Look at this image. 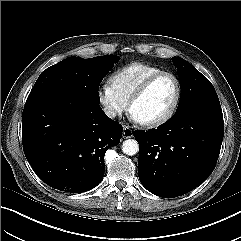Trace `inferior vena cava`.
Listing matches in <instances>:
<instances>
[{
    "mask_svg": "<svg viewBox=\"0 0 241 241\" xmlns=\"http://www.w3.org/2000/svg\"><path fill=\"white\" fill-rule=\"evenodd\" d=\"M104 112L109 118H115L116 117V110L111 107L104 108Z\"/></svg>",
    "mask_w": 241,
    "mask_h": 241,
    "instance_id": "602c4592",
    "label": "inferior vena cava"
}]
</instances>
